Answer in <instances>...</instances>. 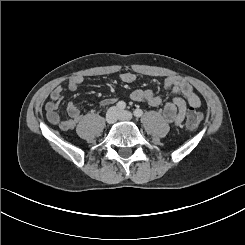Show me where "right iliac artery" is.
I'll use <instances>...</instances> for the list:
<instances>
[{
	"mask_svg": "<svg viewBox=\"0 0 245 245\" xmlns=\"http://www.w3.org/2000/svg\"><path fill=\"white\" fill-rule=\"evenodd\" d=\"M116 107L118 110H124L126 108V104L124 101H119L117 104H116Z\"/></svg>",
	"mask_w": 245,
	"mask_h": 245,
	"instance_id": "right-iliac-artery-1",
	"label": "right iliac artery"
}]
</instances>
